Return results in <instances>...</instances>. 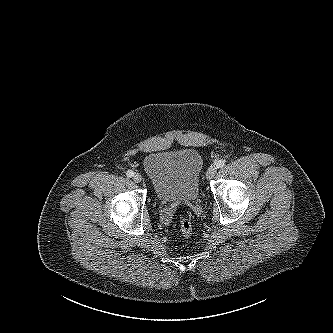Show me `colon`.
Masks as SVG:
<instances>
[{"mask_svg":"<svg viewBox=\"0 0 333 333\" xmlns=\"http://www.w3.org/2000/svg\"><path fill=\"white\" fill-rule=\"evenodd\" d=\"M179 229L183 235H190L193 231V224L191 220L187 217L181 218L179 221Z\"/></svg>","mask_w":333,"mask_h":333,"instance_id":"5ec220e1","label":"colon"}]
</instances>
